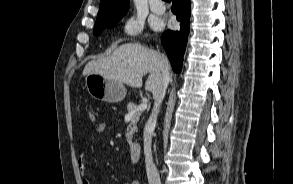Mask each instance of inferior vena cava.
<instances>
[{
  "label": "inferior vena cava",
  "mask_w": 293,
  "mask_h": 184,
  "mask_svg": "<svg viewBox=\"0 0 293 184\" xmlns=\"http://www.w3.org/2000/svg\"><path fill=\"white\" fill-rule=\"evenodd\" d=\"M159 65L162 74V83L159 90L153 94L154 106L144 131V155L149 184H161L159 173L155 164L153 163L151 144L152 134L155 129L159 108L165 97L166 89L170 81L168 60L167 57L163 54H160Z\"/></svg>",
  "instance_id": "1"
}]
</instances>
